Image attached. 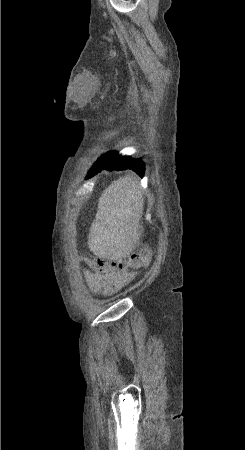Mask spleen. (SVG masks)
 <instances>
[{"label":"spleen","instance_id":"3e777b00","mask_svg":"<svg viewBox=\"0 0 245 450\" xmlns=\"http://www.w3.org/2000/svg\"><path fill=\"white\" fill-rule=\"evenodd\" d=\"M143 205L144 198L135 177L113 181L99 198L88 238L90 250L106 259L129 255L142 234Z\"/></svg>","mask_w":245,"mask_h":450}]
</instances>
